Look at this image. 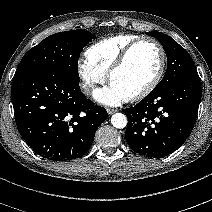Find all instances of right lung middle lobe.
Segmentation results:
<instances>
[{"label":"right lung middle lobe","mask_w":212,"mask_h":212,"mask_svg":"<svg viewBox=\"0 0 212 212\" xmlns=\"http://www.w3.org/2000/svg\"><path fill=\"white\" fill-rule=\"evenodd\" d=\"M95 36L84 30L56 33L30 49L18 65L15 76L33 71L61 72L79 82L78 56Z\"/></svg>","instance_id":"1"}]
</instances>
